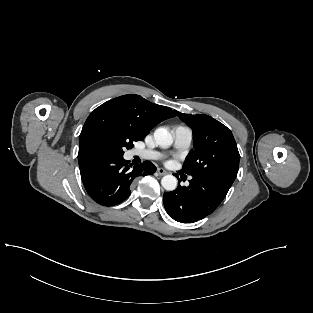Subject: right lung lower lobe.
Segmentation results:
<instances>
[{
    "instance_id": "right-lung-lower-lobe-1",
    "label": "right lung lower lobe",
    "mask_w": 313,
    "mask_h": 313,
    "mask_svg": "<svg viewBox=\"0 0 313 313\" xmlns=\"http://www.w3.org/2000/svg\"><path fill=\"white\" fill-rule=\"evenodd\" d=\"M81 179L89 196L98 204L113 206L131 194L136 178L153 174L156 167L150 161L129 164L123 156L96 154L78 160Z\"/></svg>"
}]
</instances>
